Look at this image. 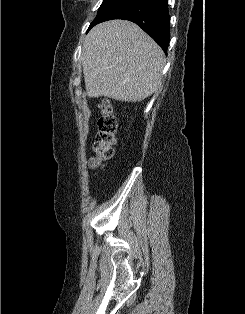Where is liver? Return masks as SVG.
<instances>
[{
    "label": "liver",
    "mask_w": 245,
    "mask_h": 314,
    "mask_svg": "<svg viewBox=\"0 0 245 314\" xmlns=\"http://www.w3.org/2000/svg\"><path fill=\"white\" fill-rule=\"evenodd\" d=\"M81 61L91 98L139 102L161 89L165 54L130 21L96 25L84 39Z\"/></svg>",
    "instance_id": "obj_1"
}]
</instances>
